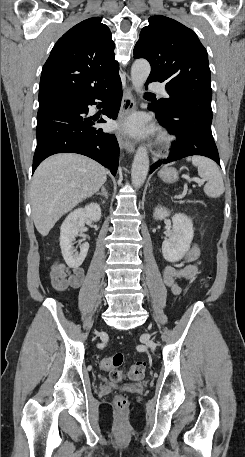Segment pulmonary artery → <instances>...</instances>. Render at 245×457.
Masks as SVG:
<instances>
[{"label": "pulmonary artery", "instance_id": "e3ab8cb5", "mask_svg": "<svg viewBox=\"0 0 245 457\" xmlns=\"http://www.w3.org/2000/svg\"><path fill=\"white\" fill-rule=\"evenodd\" d=\"M145 87L150 90H160L159 95L163 101H166L170 95L169 90L164 89L163 81L146 80Z\"/></svg>", "mask_w": 245, "mask_h": 457}]
</instances>
